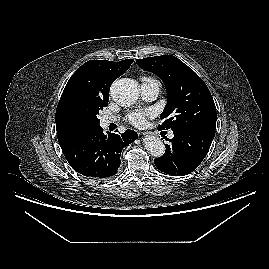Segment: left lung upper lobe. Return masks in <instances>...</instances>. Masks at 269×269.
Wrapping results in <instances>:
<instances>
[{"instance_id": "obj_1", "label": "left lung upper lobe", "mask_w": 269, "mask_h": 269, "mask_svg": "<svg viewBox=\"0 0 269 269\" xmlns=\"http://www.w3.org/2000/svg\"><path fill=\"white\" fill-rule=\"evenodd\" d=\"M143 70L159 76L167 90V104L158 128L173 132L197 129L216 130V107L203 80L186 64L172 55L137 59Z\"/></svg>"}]
</instances>
